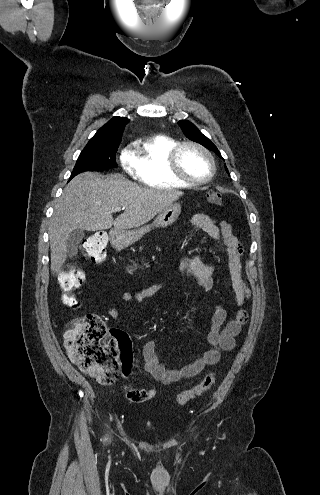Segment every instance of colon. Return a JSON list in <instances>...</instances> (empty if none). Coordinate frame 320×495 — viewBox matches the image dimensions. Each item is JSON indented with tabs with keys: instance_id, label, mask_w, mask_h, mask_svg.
Masks as SVG:
<instances>
[{
	"instance_id": "obj_1",
	"label": "colon",
	"mask_w": 320,
	"mask_h": 495,
	"mask_svg": "<svg viewBox=\"0 0 320 495\" xmlns=\"http://www.w3.org/2000/svg\"><path fill=\"white\" fill-rule=\"evenodd\" d=\"M208 202L219 206L222 195L213 192L208 196ZM106 243L105 233L96 232L83 242V254L93 262H104L107 258ZM83 280L84 275L80 270L70 268L62 274L60 287L70 292L78 288ZM63 302L66 306L77 307V301L70 295H66ZM64 344L71 361L104 385L112 384L117 379L120 366H128L132 361L131 342L127 334L107 328L103 319L94 313L84 314L71 323L65 333ZM215 380V374L208 373L198 384L183 390L177 396V403L186 405L206 393ZM126 398L132 403H140L149 399V393L145 389H132L126 393Z\"/></svg>"
}]
</instances>
